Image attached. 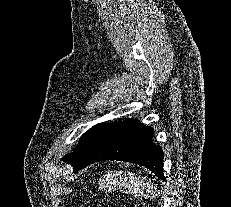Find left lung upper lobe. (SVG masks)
I'll return each mask as SVG.
<instances>
[{"instance_id": "1", "label": "left lung upper lobe", "mask_w": 231, "mask_h": 207, "mask_svg": "<svg viewBox=\"0 0 231 207\" xmlns=\"http://www.w3.org/2000/svg\"><path fill=\"white\" fill-rule=\"evenodd\" d=\"M103 125V123L97 124L85 132L81 136L79 143L74 151L71 154L66 155L63 158V161L69 162L73 168L78 165Z\"/></svg>"}]
</instances>
